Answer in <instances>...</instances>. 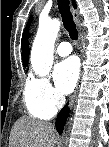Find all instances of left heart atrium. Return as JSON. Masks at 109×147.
I'll return each instance as SVG.
<instances>
[{
    "label": "left heart atrium",
    "mask_w": 109,
    "mask_h": 147,
    "mask_svg": "<svg viewBox=\"0 0 109 147\" xmlns=\"http://www.w3.org/2000/svg\"><path fill=\"white\" fill-rule=\"evenodd\" d=\"M78 75V62L75 58H68L59 62L53 71L57 90L62 94L70 93L76 85Z\"/></svg>",
    "instance_id": "1"
}]
</instances>
